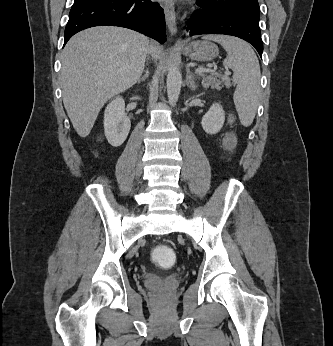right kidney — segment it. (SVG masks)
Here are the masks:
<instances>
[{"label":"right kidney","mask_w":333,"mask_h":346,"mask_svg":"<svg viewBox=\"0 0 333 346\" xmlns=\"http://www.w3.org/2000/svg\"><path fill=\"white\" fill-rule=\"evenodd\" d=\"M130 127V119L125 114V102L122 97H116L104 112V133L109 144L113 147L122 145Z\"/></svg>","instance_id":"obj_1"}]
</instances>
